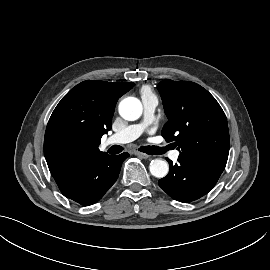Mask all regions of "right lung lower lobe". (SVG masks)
Masks as SVG:
<instances>
[{"instance_id": "right-lung-lower-lobe-1", "label": "right lung lower lobe", "mask_w": 270, "mask_h": 270, "mask_svg": "<svg viewBox=\"0 0 270 270\" xmlns=\"http://www.w3.org/2000/svg\"><path fill=\"white\" fill-rule=\"evenodd\" d=\"M128 156V153L117 156L103 153L53 171L52 176L64 196L81 205H91L100 200L115 183L122 162Z\"/></svg>"}]
</instances>
